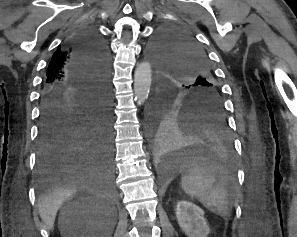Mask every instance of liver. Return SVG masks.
<instances>
[{
    "label": "liver",
    "instance_id": "liver-1",
    "mask_svg": "<svg viewBox=\"0 0 297 237\" xmlns=\"http://www.w3.org/2000/svg\"><path fill=\"white\" fill-rule=\"evenodd\" d=\"M89 179L90 177L85 175H68L60 182L58 187L39 200V215L47 230L53 229L57 212L62 203L78 189L87 188Z\"/></svg>",
    "mask_w": 297,
    "mask_h": 237
}]
</instances>
